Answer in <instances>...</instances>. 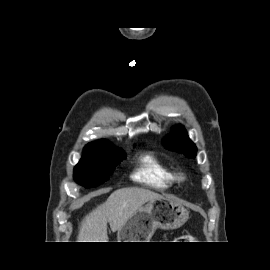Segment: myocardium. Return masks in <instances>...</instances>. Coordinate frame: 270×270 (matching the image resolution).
<instances>
[{
  "label": "myocardium",
  "mask_w": 270,
  "mask_h": 270,
  "mask_svg": "<svg viewBox=\"0 0 270 270\" xmlns=\"http://www.w3.org/2000/svg\"><path fill=\"white\" fill-rule=\"evenodd\" d=\"M176 177H177V179L180 180V181H182V180L185 179V175H184L183 173H178V174L176 175Z\"/></svg>",
  "instance_id": "1"
}]
</instances>
